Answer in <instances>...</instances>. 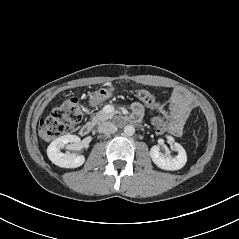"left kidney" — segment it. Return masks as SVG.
Returning <instances> with one entry per match:
<instances>
[{
    "label": "left kidney",
    "instance_id": "5707ae66",
    "mask_svg": "<svg viewBox=\"0 0 239 239\" xmlns=\"http://www.w3.org/2000/svg\"><path fill=\"white\" fill-rule=\"evenodd\" d=\"M178 152L177 156L171 157L167 153L161 152V148L157 145L150 149V157L152 161L161 169L164 170H179L187 162V154L185 149L179 143H174Z\"/></svg>",
    "mask_w": 239,
    "mask_h": 239
}]
</instances>
